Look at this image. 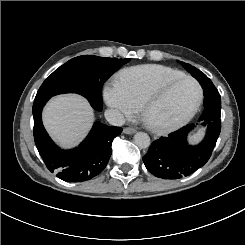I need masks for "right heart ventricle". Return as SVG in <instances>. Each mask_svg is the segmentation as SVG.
<instances>
[{
    "label": "right heart ventricle",
    "mask_w": 245,
    "mask_h": 245,
    "mask_svg": "<svg viewBox=\"0 0 245 245\" xmlns=\"http://www.w3.org/2000/svg\"><path fill=\"white\" fill-rule=\"evenodd\" d=\"M180 71L160 65H144L127 71L113 81V87L122 91L136 107L145 89L158 79L178 77Z\"/></svg>",
    "instance_id": "right-heart-ventricle-1"
}]
</instances>
